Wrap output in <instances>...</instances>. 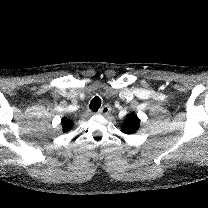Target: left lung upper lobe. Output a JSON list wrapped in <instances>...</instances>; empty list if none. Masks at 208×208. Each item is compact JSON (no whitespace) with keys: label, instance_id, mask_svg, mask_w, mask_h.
<instances>
[{"label":"left lung upper lobe","instance_id":"left-lung-upper-lobe-1","mask_svg":"<svg viewBox=\"0 0 208 208\" xmlns=\"http://www.w3.org/2000/svg\"><path fill=\"white\" fill-rule=\"evenodd\" d=\"M140 119L135 113H131L122 125V132L125 134H134L139 127Z\"/></svg>","mask_w":208,"mask_h":208}]
</instances>
